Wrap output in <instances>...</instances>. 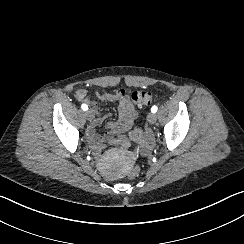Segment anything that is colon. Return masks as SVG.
Returning a JSON list of instances; mask_svg holds the SVG:
<instances>
[{"label":"colon","instance_id":"5ec220e1","mask_svg":"<svg viewBox=\"0 0 244 244\" xmlns=\"http://www.w3.org/2000/svg\"><path fill=\"white\" fill-rule=\"evenodd\" d=\"M125 89L120 88L116 91V94L123 95ZM112 98H116V95L113 94ZM131 99L134 104L138 106H147L153 101V95L149 91H135L131 94ZM144 137L143 131L141 129H134L129 133V138L131 140L140 141ZM115 140V141H114ZM113 139H108L105 142V147L108 150H113L116 146L122 148L123 150H128L131 147V142L128 139H125V135L122 132H117L114 135ZM142 174V169L139 166H134L129 170L128 176L130 179L135 180Z\"/></svg>","mask_w":244,"mask_h":244}]
</instances>
